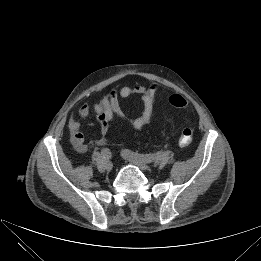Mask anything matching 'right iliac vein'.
<instances>
[{"label": "right iliac vein", "instance_id": "right-iliac-vein-1", "mask_svg": "<svg viewBox=\"0 0 261 261\" xmlns=\"http://www.w3.org/2000/svg\"><path fill=\"white\" fill-rule=\"evenodd\" d=\"M105 168H106V170H108V171H110V170H112V168H113V163L111 162V161H106L105 162Z\"/></svg>", "mask_w": 261, "mask_h": 261}]
</instances>
